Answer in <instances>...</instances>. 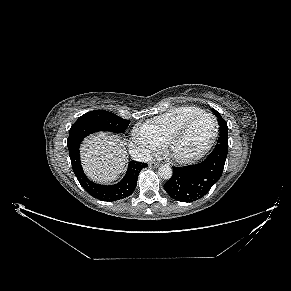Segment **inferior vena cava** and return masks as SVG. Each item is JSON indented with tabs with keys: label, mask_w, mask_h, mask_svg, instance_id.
I'll return each mask as SVG.
<instances>
[{
	"label": "inferior vena cava",
	"mask_w": 291,
	"mask_h": 291,
	"mask_svg": "<svg viewBox=\"0 0 291 291\" xmlns=\"http://www.w3.org/2000/svg\"><path fill=\"white\" fill-rule=\"evenodd\" d=\"M130 155L131 157L138 162H148L151 160L150 151L145 148L135 147L130 145Z\"/></svg>",
	"instance_id": "obj_1"
}]
</instances>
